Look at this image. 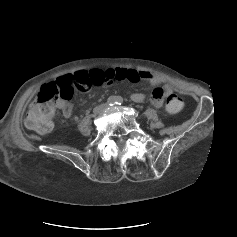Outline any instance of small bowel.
<instances>
[{"label": "small bowel", "mask_w": 237, "mask_h": 237, "mask_svg": "<svg viewBox=\"0 0 237 237\" xmlns=\"http://www.w3.org/2000/svg\"><path fill=\"white\" fill-rule=\"evenodd\" d=\"M100 72L105 77V81L102 85H110L116 81H129L135 83L140 80H146L154 86L160 85V87L155 89L150 98L152 105L156 108L161 107L164 98L173 92V87L166 83L164 78L155 73L123 68H110ZM144 98L145 96L142 93H134L132 95V100L136 103L142 102ZM58 108L62 111L65 117H69L72 113V106L69 103L60 102Z\"/></svg>", "instance_id": "c3829d8e"}]
</instances>
